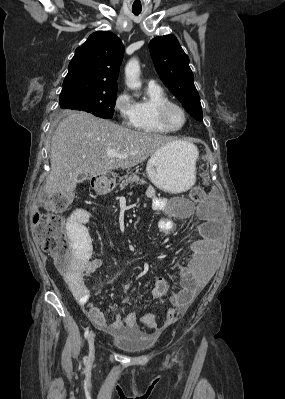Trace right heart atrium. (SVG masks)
<instances>
[{
	"label": "right heart atrium",
	"instance_id": "d8ad5b80",
	"mask_svg": "<svg viewBox=\"0 0 285 399\" xmlns=\"http://www.w3.org/2000/svg\"><path fill=\"white\" fill-rule=\"evenodd\" d=\"M114 110L125 126L135 124V102L130 94L123 90L114 99Z\"/></svg>",
	"mask_w": 285,
	"mask_h": 399
}]
</instances>
